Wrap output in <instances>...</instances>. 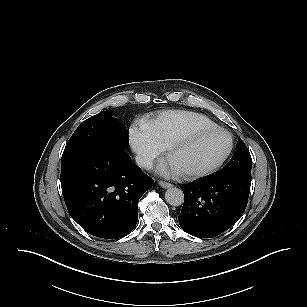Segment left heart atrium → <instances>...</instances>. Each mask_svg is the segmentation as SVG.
Masks as SVG:
<instances>
[{
  "label": "left heart atrium",
  "mask_w": 307,
  "mask_h": 307,
  "mask_svg": "<svg viewBox=\"0 0 307 307\" xmlns=\"http://www.w3.org/2000/svg\"><path fill=\"white\" fill-rule=\"evenodd\" d=\"M157 173L166 177L179 176L178 170L173 166L169 158L162 159L157 166Z\"/></svg>",
  "instance_id": "left-heart-atrium-1"
}]
</instances>
